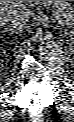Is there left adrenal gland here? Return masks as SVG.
I'll return each instance as SVG.
<instances>
[{
	"label": "left adrenal gland",
	"instance_id": "left-adrenal-gland-1",
	"mask_svg": "<svg viewBox=\"0 0 74 122\" xmlns=\"http://www.w3.org/2000/svg\"><path fill=\"white\" fill-rule=\"evenodd\" d=\"M65 34H67V35L69 34V33L67 32V29H65Z\"/></svg>",
	"mask_w": 74,
	"mask_h": 122
}]
</instances>
